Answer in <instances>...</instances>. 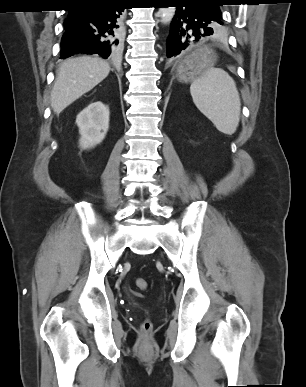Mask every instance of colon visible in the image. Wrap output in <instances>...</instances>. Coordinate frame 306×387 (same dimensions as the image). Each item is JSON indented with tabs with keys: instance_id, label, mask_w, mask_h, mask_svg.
Segmentation results:
<instances>
[{
	"instance_id": "5ec220e1",
	"label": "colon",
	"mask_w": 306,
	"mask_h": 387,
	"mask_svg": "<svg viewBox=\"0 0 306 387\" xmlns=\"http://www.w3.org/2000/svg\"><path fill=\"white\" fill-rule=\"evenodd\" d=\"M135 285L141 291H145L148 288V282L144 278H137L135 280ZM141 330L144 333H149L152 330V323L149 320H145L141 324Z\"/></svg>"
}]
</instances>
